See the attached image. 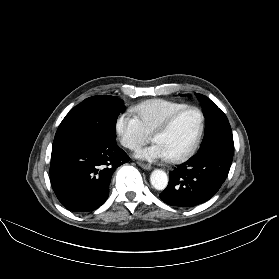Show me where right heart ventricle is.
<instances>
[{"mask_svg":"<svg viewBox=\"0 0 279 279\" xmlns=\"http://www.w3.org/2000/svg\"><path fill=\"white\" fill-rule=\"evenodd\" d=\"M184 106L186 104L181 102L151 99L137 104L133 107V111L146 132L153 133L172 112Z\"/></svg>","mask_w":279,"mask_h":279,"instance_id":"right-heart-ventricle-1","label":"right heart ventricle"}]
</instances>
